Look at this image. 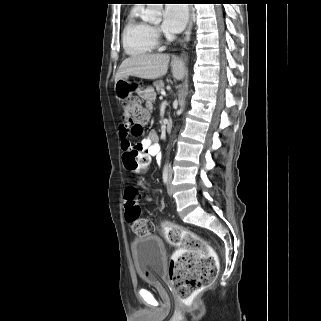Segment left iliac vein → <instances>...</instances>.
I'll list each match as a JSON object with an SVG mask.
<instances>
[{
  "instance_id": "1",
  "label": "left iliac vein",
  "mask_w": 321,
  "mask_h": 321,
  "mask_svg": "<svg viewBox=\"0 0 321 321\" xmlns=\"http://www.w3.org/2000/svg\"><path fill=\"white\" fill-rule=\"evenodd\" d=\"M171 180H172V172L169 173L168 185H167V192H168L169 195L172 194V184H171Z\"/></svg>"
}]
</instances>
